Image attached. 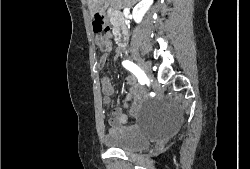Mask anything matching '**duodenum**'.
<instances>
[{
  "mask_svg": "<svg viewBox=\"0 0 250 169\" xmlns=\"http://www.w3.org/2000/svg\"><path fill=\"white\" fill-rule=\"evenodd\" d=\"M112 22L115 29L114 38L116 42L123 46L127 45L130 34L123 13L119 10L114 12Z\"/></svg>",
  "mask_w": 250,
  "mask_h": 169,
  "instance_id": "duodenum-1",
  "label": "duodenum"
}]
</instances>
